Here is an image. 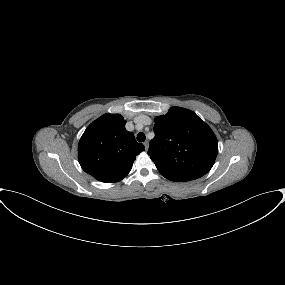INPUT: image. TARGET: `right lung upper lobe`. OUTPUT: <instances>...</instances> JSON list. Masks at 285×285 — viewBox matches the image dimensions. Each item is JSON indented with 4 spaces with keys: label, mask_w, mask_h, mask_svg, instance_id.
Returning a JSON list of instances; mask_svg holds the SVG:
<instances>
[{
    "label": "right lung upper lobe",
    "mask_w": 285,
    "mask_h": 285,
    "mask_svg": "<svg viewBox=\"0 0 285 285\" xmlns=\"http://www.w3.org/2000/svg\"><path fill=\"white\" fill-rule=\"evenodd\" d=\"M125 124L120 114H104L87 127L79 141V163L99 181L122 180L130 172L135 157L145 149L125 129Z\"/></svg>",
    "instance_id": "1"
}]
</instances>
